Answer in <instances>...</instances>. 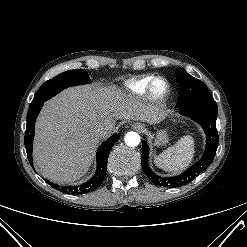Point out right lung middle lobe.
<instances>
[{"instance_id": "1", "label": "right lung middle lobe", "mask_w": 247, "mask_h": 247, "mask_svg": "<svg viewBox=\"0 0 247 247\" xmlns=\"http://www.w3.org/2000/svg\"><path fill=\"white\" fill-rule=\"evenodd\" d=\"M87 83H90V79L84 70L77 69L60 73L42 84L36 92L30 106L33 107L44 103L67 87Z\"/></svg>"}]
</instances>
